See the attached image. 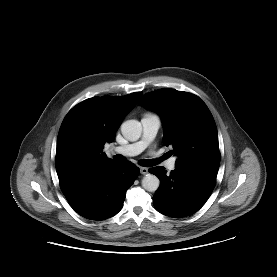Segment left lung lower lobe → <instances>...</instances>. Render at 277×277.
<instances>
[{"label":"left lung lower lobe","instance_id":"left-lung-lower-lobe-1","mask_svg":"<svg viewBox=\"0 0 277 277\" xmlns=\"http://www.w3.org/2000/svg\"><path fill=\"white\" fill-rule=\"evenodd\" d=\"M219 168H175L168 176L164 167L149 170L161 182L153 196V204L160 213L180 218L197 212L210 197Z\"/></svg>","mask_w":277,"mask_h":277}]
</instances>
